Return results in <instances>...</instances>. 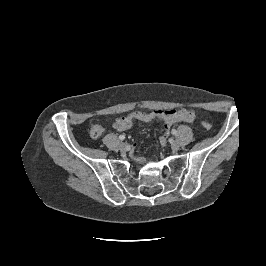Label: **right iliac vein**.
I'll return each instance as SVG.
<instances>
[{
    "label": "right iliac vein",
    "instance_id": "obj_1",
    "mask_svg": "<svg viewBox=\"0 0 266 266\" xmlns=\"http://www.w3.org/2000/svg\"><path fill=\"white\" fill-rule=\"evenodd\" d=\"M126 147H127V144L125 143V142H120L119 143V148H120V150H125L126 149Z\"/></svg>",
    "mask_w": 266,
    "mask_h": 266
}]
</instances>
